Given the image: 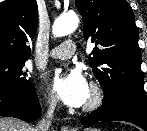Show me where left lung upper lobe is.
Masks as SVG:
<instances>
[{
	"label": "left lung upper lobe",
	"mask_w": 147,
	"mask_h": 131,
	"mask_svg": "<svg viewBox=\"0 0 147 131\" xmlns=\"http://www.w3.org/2000/svg\"><path fill=\"white\" fill-rule=\"evenodd\" d=\"M75 5L84 39L96 43L89 64L103 87V104L127 97L147 100L131 6L125 0H75Z\"/></svg>",
	"instance_id": "left-lung-upper-lobe-1"
}]
</instances>
